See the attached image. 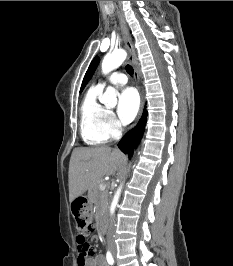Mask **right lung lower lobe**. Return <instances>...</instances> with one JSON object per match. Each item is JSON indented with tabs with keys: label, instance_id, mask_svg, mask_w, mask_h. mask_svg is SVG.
<instances>
[{
	"label": "right lung lower lobe",
	"instance_id": "right-lung-lower-lobe-1",
	"mask_svg": "<svg viewBox=\"0 0 233 266\" xmlns=\"http://www.w3.org/2000/svg\"><path fill=\"white\" fill-rule=\"evenodd\" d=\"M147 111L144 109L143 115L138 122L137 126L132 129L129 133L125 135V137L119 142L118 147L120 150L128 154L129 156L132 154L134 147L139 142L143 135L145 123H146Z\"/></svg>",
	"mask_w": 233,
	"mask_h": 266
}]
</instances>
